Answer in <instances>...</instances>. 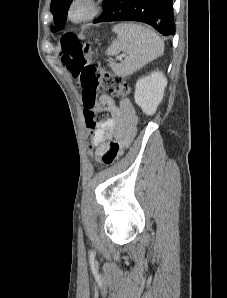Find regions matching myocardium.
<instances>
[{
  "mask_svg": "<svg viewBox=\"0 0 227 298\" xmlns=\"http://www.w3.org/2000/svg\"><path fill=\"white\" fill-rule=\"evenodd\" d=\"M85 5L87 11L84 15L80 17L74 16V10L78 5ZM99 11V6L96 0H71L67 9V17L69 21L74 24H80L93 19Z\"/></svg>",
  "mask_w": 227,
  "mask_h": 298,
  "instance_id": "myocardium-1",
  "label": "myocardium"
}]
</instances>
